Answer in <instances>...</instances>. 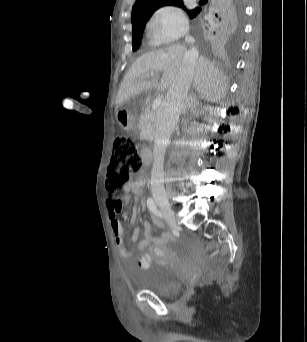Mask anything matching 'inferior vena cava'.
Returning a JSON list of instances; mask_svg holds the SVG:
<instances>
[{
    "label": "inferior vena cava",
    "mask_w": 307,
    "mask_h": 342,
    "mask_svg": "<svg viewBox=\"0 0 307 342\" xmlns=\"http://www.w3.org/2000/svg\"><path fill=\"white\" fill-rule=\"evenodd\" d=\"M185 42L193 44L192 36H186ZM198 52L192 48L186 52L177 78L169 88L163 104L158 112L155 132L154 162L151 170V190L165 194L164 188V156L169 138L178 124L182 106L188 96L194 78L196 58Z\"/></svg>",
    "instance_id": "obj_1"
}]
</instances>
